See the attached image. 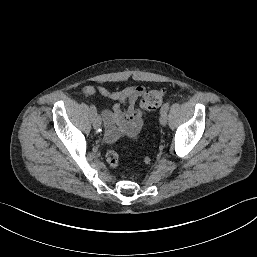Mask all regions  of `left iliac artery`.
I'll list each match as a JSON object with an SVG mask.
<instances>
[{
    "label": "left iliac artery",
    "mask_w": 257,
    "mask_h": 257,
    "mask_svg": "<svg viewBox=\"0 0 257 257\" xmlns=\"http://www.w3.org/2000/svg\"><path fill=\"white\" fill-rule=\"evenodd\" d=\"M169 106H170V104H169L168 102L165 103V104L161 107L160 113H167L168 110H169Z\"/></svg>",
    "instance_id": "1"
}]
</instances>
